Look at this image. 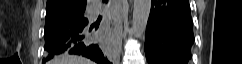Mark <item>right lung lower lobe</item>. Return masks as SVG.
<instances>
[{"instance_id": "obj_1", "label": "right lung lower lobe", "mask_w": 242, "mask_h": 64, "mask_svg": "<svg viewBox=\"0 0 242 64\" xmlns=\"http://www.w3.org/2000/svg\"><path fill=\"white\" fill-rule=\"evenodd\" d=\"M99 23H86L73 25L69 28L54 32L45 39V55L43 63L56 55L63 53L82 55L97 64H110L107 56L103 53L101 46L96 43L88 32Z\"/></svg>"}]
</instances>
